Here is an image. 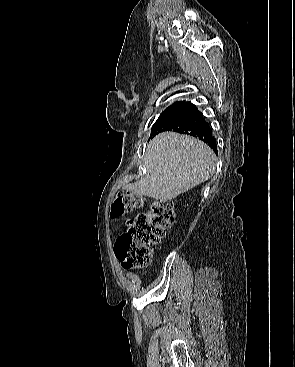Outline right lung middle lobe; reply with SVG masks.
<instances>
[{"label": "right lung middle lobe", "instance_id": "right-lung-middle-lobe-1", "mask_svg": "<svg viewBox=\"0 0 295 367\" xmlns=\"http://www.w3.org/2000/svg\"><path fill=\"white\" fill-rule=\"evenodd\" d=\"M184 102H175L173 105L169 106L166 110H164L157 121L154 123L152 127L151 136L154 134V132L158 129V127L163 123L172 113H174ZM150 136V137H151Z\"/></svg>", "mask_w": 295, "mask_h": 367}]
</instances>
